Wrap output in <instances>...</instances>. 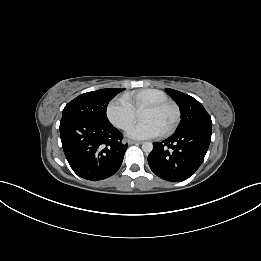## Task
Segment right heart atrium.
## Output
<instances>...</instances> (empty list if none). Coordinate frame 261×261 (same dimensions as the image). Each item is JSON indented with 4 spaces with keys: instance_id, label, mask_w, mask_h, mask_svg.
I'll list each match as a JSON object with an SVG mask.
<instances>
[{
    "instance_id": "d8ad5b80",
    "label": "right heart atrium",
    "mask_w": 261,
    "mask_h": 261,
    "mask_svg": "<svg viewBox=\"0 0 261 261\" xmlns=\"http://www.w3.org/2000/svg\"><path fill=\"white\" fill-rule=\"evenodd\" d=\"M106 116L116 128L126 130L134 122L136 110L125 96H117L108 103Z\"/></svg>"
}]
</instances>
